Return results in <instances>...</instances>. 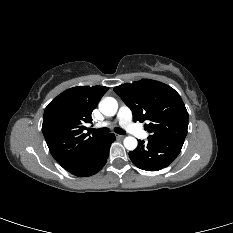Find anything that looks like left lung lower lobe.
<instances>
[{
    "mask_svg": "<svg viewBox=\"0 0 233 233\" xmlns=\"http://www.w3.org/2000/svg\"><path fill=\"white\" fill-rule=\"evenodd\" d=\"M181 140H139L138 147L129 153L132 162L140 169L158 171L171 164L181 151Z\"/></svg>",
    "mask_w": 233,
    "mask_h": 233,
    "instance_id": "0a47b994",
    "label": "left lung lower lobe"
}]
</instances>
